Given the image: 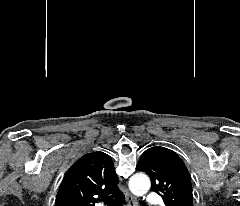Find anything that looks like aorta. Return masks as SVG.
Wrapping results in <instances>:
<instances>
[{"instance_id": "aorta-1", "label": "aorta", "mask_w": 240, "mask_h": 206, "mask_svg": "<svg viewBox=\"0 0 240 206\" xmlns=\"http://www.w3.org/2000/svg\"><path fill=\"white\" fill-rule=\"evenodd\" d=\"M150 186L149 177L143 173H136L129 180V189L136 196L145 195Z\"/></svg>"}]
</instances>
